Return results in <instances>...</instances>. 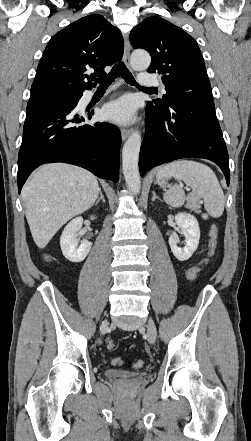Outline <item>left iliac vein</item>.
I'll list each match as a JSON object with an SVG mask.
<instances>
[{"label":"left iliac vein","mask_w":251,"mask_h":441,"mask_svg":"<svg viewBox=\"0 0 251 441\" xmlns=\"http://www.w3.org/2000/svg\"><path fill=\"white\" fill-rule=\"evenodd\" d=\"M156 326L153 320L150 318L147 323V340L149 343L153 344L156 340Z\"/></svg>","instance_id":"left-iliac-vein-1"}]
</instances>
